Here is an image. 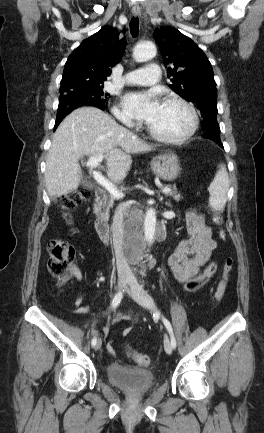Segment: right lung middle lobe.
I'll use <instances>...</instances> for the list:
<instances>
[{"mask_svg":"<svg viewBox=\"0 0 264 433\" xmlns=\"http://www.w3.org/2000/svg\"><path fill=\"white\" fill-rule=\"evenodd\" d=\"M109 96L108 93L103 91V85L75 89L61 94L57 119L65 117L73 109L81 106L96 105L100 108H105V103Z\"/></svg>","mask_w":264,"mask_h":433,"instance_id":"right-lung-middle-lobe-1","label":"right lung middle lobe"}]
</instances>
